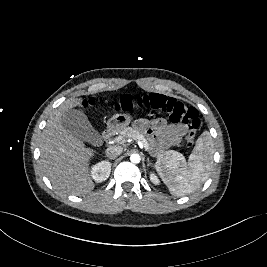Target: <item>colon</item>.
<instances>
[{
  "mask_svg": "<svg viewBox=\"0 0 267 267\" xmlns=\"http://www.w3.org/2000/svg\"><path fill=\"white\" fill-rule=\"evenodd\" d=\"M136 107H145L153 115H166L174 123H183L187 127L185 143L191 147L194 144L196 132L200 126L197 110L175 98L158 93H151L140 97L123 95L114 103L117 111H131Z\"/></svg>",
  "mask_w": 267,
  "mask_h": 267,
  "instance_id": "5ec220e1",
  "label": "colon"
}]
</instances>
